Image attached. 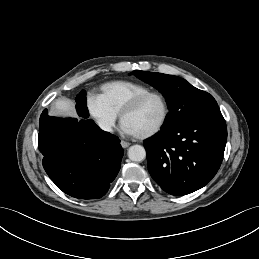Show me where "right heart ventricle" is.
Instances as JSON below:
<instances>
[{"instance_id":"e07e8e85","label":"right heart ventricle","mask_w":259,"mask_h":259,"mask_svg":"<svg viewBox=\"0 0 259 259\" xmlns=\"http://www.w3.org/2000/svg\"><path fill=\"white\" fill-rule=\"evenodd\" d=\"M100 91L104 102L118 115L133 98L149 92L150 89L139 83L118 80L102 85Z\"/></svg>"}]
</instances>
